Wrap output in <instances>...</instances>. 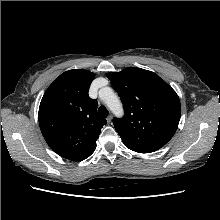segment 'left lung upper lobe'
<instances>
[{"label": "left lung upper lobe", "mask_w": 220, "mask_h": 220, "mask_svg": "<svg viewBox=\"0 0 220 220\" xmlns=\"http://www.w3.org/2000/svg\"><path fill=\"white\" fill-rule=\"evenodd\" d=\"M125 109L114 127L127 148L139 153L154 152L173 137L179 124L181 105L176 92L157 74L128 67L107 73Z\"/></svg>", "instance_id": "5c2ea615"}]
</instances>
